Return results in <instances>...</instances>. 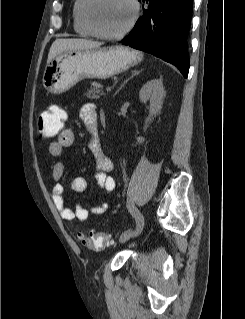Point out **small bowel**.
Returning <instances> with one entry per match:
<instances>
[{"mask_svg": "<svg viewBox=\"0 0 245 319\" xmlns=\"http://www.w3.org/2000/svg\"><path fill=\"white\" fill-rule=\"evenodd\" d=\"M80 117L82 121L90 128V130L96 134L98 131V113L96 106L90 103L85 104L80 111ZM74 138V132L71 129L62 130L57 140L51 142L49 145L50 155L59 159L63 155L64 150L72 146L74 143ZM93 154L96 159L95 172L98 184L106 193H112L116 188V181L114 177L108 174V172L114 170V162L109 156L102 152L98 143L94 144L93 146ZM64 173L65 167L63 162L61 160H57L52 166L53 179H62ZM69 189L73 193L83 192L86 189V179L84 177L73 178ZM64 190V186L60 183H57L52 189L51 197L59 215L67 222H74L75 220L84 222L87 220L90 214L101 215L108 209V204L104 202L100 206L92 208H86L78 204L72 210L65 204L63 197Z\"/></svg>", "mask_w": 245, "mask_h": 319, "instance_id": "c3829d8e", "label": "small bowel"}]
</instances>
